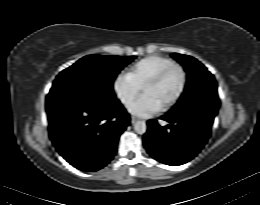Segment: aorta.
Listing matches in <instances>:
<instances>
[{"label":"aorta","mask_w":260,"mask_h":205,"mask_svg":"<svg viewBox=\"0 0 260 205\" xmlns=\"http://www.w3.org/2000/svg\"><path fill=\"white\" fill-rule=\"evenodd\" d=\"M147 126L146 123L144 121H137L134 124V130L138 133V134H144L146 132Z\"/></svg>","instance_id":"762f6f07"}]
</instances>
